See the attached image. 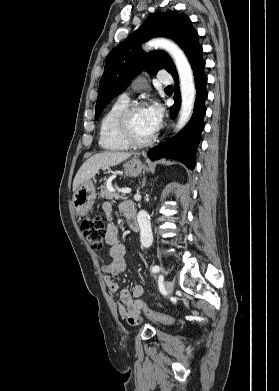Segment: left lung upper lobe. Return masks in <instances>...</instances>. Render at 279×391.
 <instances>
[{
	"label": "left lung upper lobe",
	"instance_id": "5c2ea615",
	"mask_svg": "<svg viewBox=\"0 0 279 391\" xmlns=\"http://www.w3.org/2000/svg\"><path fill=\"white\" fill-rule=\"evenodd\" d=\"M159 36L173 39L184 50L189 62L201 47L198 33L187 15L176 11L151 14L138 30L108 54L99 83L96 120L106 105L121 94L143 70L155 75L165 69L173 77L178 75L172 59L165 51L145 53L140 50L141 43Z\"/></svg>",
	"mask_w": 279,
	"mask_h": 391
}]
</instances>
